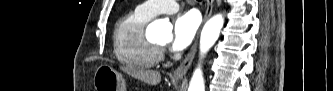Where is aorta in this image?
Here are the masks:
<instances>
[{"mask_svg": "<svg viewBox=\"0 0 333 91\" xmlns=\"http://www.w3.org/2000/svg\"><path fill=\"white\" fill-rule=\"evenodd\" d=\"M224 24L222 14H216L204 25L200 36V54L204 56L217 41ZM171 25L165 20H155L148 26V33L154 37H162L165 40L172 38ZM204 79L200 66L196 68L191 78L188 91H204Z\"/></svg>", "mask_w": 333, "mask_h": 91, "instance_id": "aorta-1", "label": "aorta"}]
</instances>
